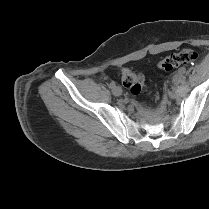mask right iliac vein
<instances>
[{
  "label": "right iliac vein",
  "mask_w": 209,
  "mask_h": 209,
  "mask_svg": "<svg viewBox=\"0 0 209 209\" xmlns=\"http://www.w3.org/2000/svg\"><path fill=\"white\" fill-rule=\"evenodd\" d=\"M112 93L115 95V96H120L122 94V89L121 87L117 86V87H114L113 90H112Z\"/></svg>",
  "instance_id": "1"
}]
</instances>
